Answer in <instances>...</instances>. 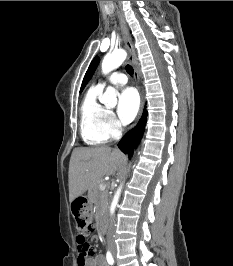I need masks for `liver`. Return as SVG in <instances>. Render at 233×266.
<instances>
[{"mask_svg": "<svg viewBox=\"0 0 233 266\" xmlns=\"http://www.w3.org/2000/svg\"><path fill=\"white\" fill-rule=\"evenodd\" d=\"M124 161L119 150L107 146L74 149L69 163V201L83 195L105 175L115 174Z\"/></svg>", "mask_w": 233, "mask_h": 266, "instance_id": "obj_1", "label": "liver"}]
</instances>
